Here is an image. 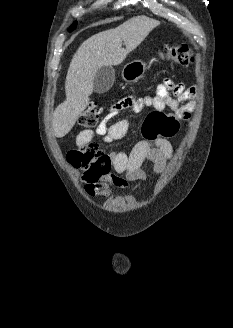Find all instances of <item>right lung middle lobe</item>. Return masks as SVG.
Wrapping results in <instances>:
<instances>
[{
	"mask_svg": "<svg viewBox=\"0 0 233 328\" xmlns=\"http://www.w3.org/2000/svg\"><path fill=\"white\" fill-rule=\"evenodd\" d=\"M76 24H77V22H75L71 27H70V31H72V30H74L75 28H76Z\"/></svg>",
	"mask_w": 233,
	"mask_h": 328,
	"instance_id": "1",
	"label": "right lung middle lobe"
}]
</instances>
